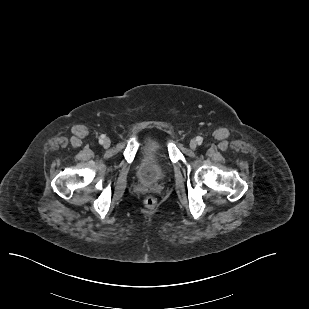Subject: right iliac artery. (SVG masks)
Masks as SVG:
<instances>
[{"mask_svg":"<svg viewBox=\"0 0 309 309\" xmlns=\"http://www.w3.org/2000/svg\"><path fill=\"white\" fill-rule=\"evenodd\" d=\"M103 138H104V137H102V138L99 139V143H100V144L103 143Z\"/></svg>","mask_w":309,"mask_h":309,"instance_id":"1","label":"right iliac artery"}]
</instances>
